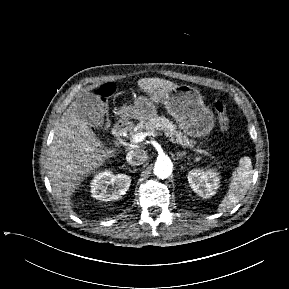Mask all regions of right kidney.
<instances>
[{"mask_svg":"<svg viewBox=\"0 0 289 289\" xmlns=\"http://www.w3.org/2000/svg\"><path fill=\"white\" fill-rule=\"evenodd\" d=\"M131 184V179L126 174L114 175L110 170H105L95 175L91 182V193L100 201L118 200L126 194ZM112 185V188H109Z\"/></svg>","mask_w":289,"mask_h":289,"instance_id":"1","label":"right kidney"}]
</instances>
